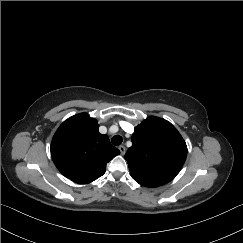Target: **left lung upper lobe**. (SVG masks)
I'll list each match as a JSON object with an SVG mask.
<instances>
[{"label":"left lung upper lobe","instance_id":"1","mask_svg":"<svg viewBox=\"0 0 243 243\" xmlns=\"http://www.w3.org/2000/svg\"><path fill=\"white\" fill-rule=\"evenodd\" d=\"M131 140L125 159L132 178L142 186L158 187L170 182L186 160L185 141L165 119L147 118L135 127Z\"/></svg>","mask_w":243,"mask_h":243}]
</instances>
